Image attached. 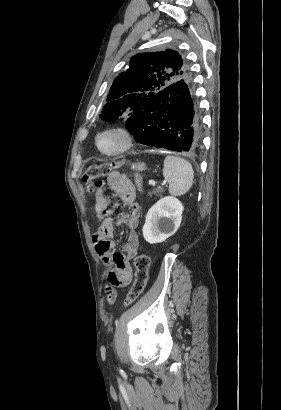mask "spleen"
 I'll list each match as a JSON object with an SVG mask.
<instances>
[{
	"mask_svg": "<svg viewBox=\"0 0 281 410\" xmlns=\"http://www.w3.org/2000/svg\"><path fill=\"white\" fill-rule=\"evenodd\" d=\"M163 176L169 182V193L174 196L185 194L193 184L194 171L185 159L167 156L164 160Z\"/></svg>",
	"mask_w": 281,
	"mask_h": 410,
	"instance_id": "spleen-1",
	"label": "spleen"
}]
</instances>
